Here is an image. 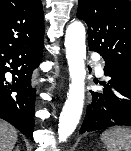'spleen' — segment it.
<instances>
[{"label":"spleen","instance_id":"obj_1","mask_svg":"<svg viewBox=\"0 0 131 151\" xmlns=\"http://www.w3.org/2000/svg\"><path fill=\"white\" fill-rule=\"evenodd\" d=\"M107 151H131V129L114 127L105 130L101 136Z\"/></svg>","mask_w":131,"mask_h":151}]
</instances>
